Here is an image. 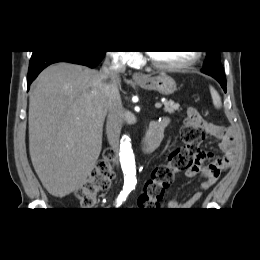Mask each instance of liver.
<instances>
[{"label": "liver", "mask_w": 260, "mask_h": 260, "mask_svg": "<svg viewBox=\"0 0 260 260\" xmlns=\"http://www.w3.org/2000/svg\"><path fill=\"white\" fill-rule=\"evenodd\" d=\"M96 69L57 63L44 69L29 97V152L46 190L64 197L91 174L102 148L107 105Z\"/></svg>", "instance_id": "6515ba94"}]
</instances>
